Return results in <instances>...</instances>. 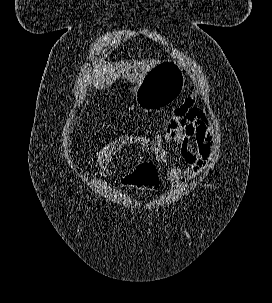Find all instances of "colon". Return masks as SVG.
Returning a JSON list of instances; mask_svg holds the SVG:
<instances>
[{
    "label": "colon",
    "mask_w": 272,
    "mask_h": 303,
    "mask_svg": "<svg viewBox=\"0 0 272 303\" xmlns=\"http://www.w3.org/2000/svg\"><path fill=\"white\" fill-rule=\"evenodd\" d=\"M113 140L109 141L95 156L92 166L99 171L105 166L108 153L112 147ZM134 186L144 188H154L158 185L157 170L153 165L144 164L139 166L134 172Z\"/></svg>",
    "instance_id": "colon-1"
}]
</instances>
